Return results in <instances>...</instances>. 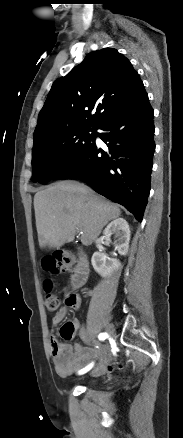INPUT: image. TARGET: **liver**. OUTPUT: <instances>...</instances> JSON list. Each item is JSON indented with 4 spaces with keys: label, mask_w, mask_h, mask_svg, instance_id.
Here are the masks:
<instances>
[{
    "label": "liver",
    "mask_w": 183,
    "mask_h": 438,
    "mask_svg": "<svg viewBox=\"0 0 183 438\" xmlns=\"http://www.w3.org/2000/svg\"><path fill=\"white\" fill-rule=\"evenodd\" d=\"M34 209L40 247L57 249L72 242L76 230L82 232V244L91 245L103 227L121 213L116 204L77 181L56 182L38 191Z\"/></svg>",
    "instance_id": "liver-1"
}]
</instances>
